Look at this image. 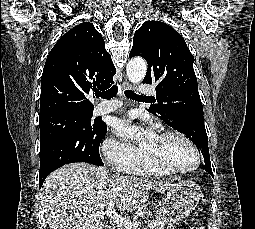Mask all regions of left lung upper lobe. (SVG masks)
Returning a JSON list of instances; mask_svg holds the SVG:
<instances>
[{"instance_id":"5c2ea615","label":"left lung upper lobe","mask_w":255,"mask_h":229,"mask_svg":"<svg viewBox=\"0 0 255 229\" xmlns=\"http://www.w3.org/2000/svg\"><path fill=\"white\" fill-rule=\"evenodd\" d=\"M141 56L148 63L143 83L156 86L158 103L148 111L167 125L185 134L202 152L210 156L205 132L198 131L193 118L182 119L195 107H202L194 57L183 37L169 25L146 21L135 32L129 57Z\"/></svg>"}]
</instances>
